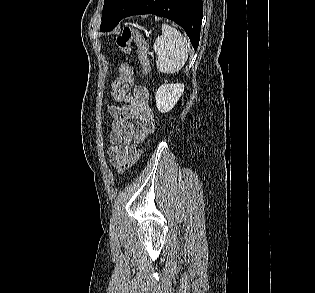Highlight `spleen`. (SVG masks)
Returning <instances> with one entry per match:
<instances>
[{
	"mask_svg": "<svg viewBox=\"0 0 315 293\" xmlns=\"http://www.w3.org/2000/svg\"><path fill=\"white\" fill-rule=\"evenodd\" d=\"M190 45L186 38L170 25L162 24V35L154 43L157 69L166 74L178 72L186 63Z\"/></svg>",
	"mask_w": 315,
	"mask_h": 293,
	"instance_id": "1",
	"label": "spleen"
}]
</instances>
